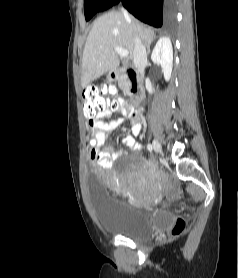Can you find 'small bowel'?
I'll use <instances>...</instances> for the list:
<instances>
[{"instance_id":"1","label":"small bowel","mask_w":238,"mask_h":278,"mask_svg":"<svg viewBox=\"0 0 238 278\" xmlns=\"http://www.w3.org/2000/svg\"><path fill=\"white\" fill-rule=\"evenodd\" d=\"M116 104L122 111V117L107 121V118L112 114V110H105L98 115L97 120L93 123V141H96V146H90L89 155L91 160L95 162L98 167L103 169L111 168L116 159L122 155H127L129 151H138L141 148L140 144L135 140V137L141 132L139 115L132 108H127L122 98H118ZM125 119L129 120L132 133L131 135H126L122 139V143L128 150H117L114 147L103 149V145L110 138L112 132L122 125Z\"/></svg>"}]
</instances>
